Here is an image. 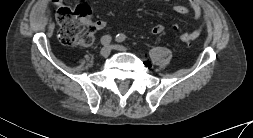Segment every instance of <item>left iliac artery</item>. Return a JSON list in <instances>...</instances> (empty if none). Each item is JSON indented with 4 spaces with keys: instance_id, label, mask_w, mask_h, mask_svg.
Returning a JSON list of instances; mask_svg holds the SVG:
<instances>
[{
    "instance_id": "left-iliac-artery-1",
    "label": "left iliac artery",
    "mask_w": 253,
    "mask_h": 138,
    "mask_svg": "<svg viewBox=\"0 0 253 138\" xmlns=\"http://www.w3.org/2000/svg\"><path fill=\"white\" fill-rule=\"evenodd\" d=\"M125 39H126V36L124 34H118L116 36V41L117 42H123V41H125Z\"/></svg>"
}]
</instances>
